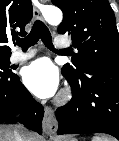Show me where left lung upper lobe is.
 I'll return each mask as SVG.
<instances>
[{
	"label": "left lung upper lobe",
	"instance_id": "1",
	"mask_svg": "<svg viewBox=\"0 0 119 141\" xmlns=\"http://www.w3.org/2000/svg\"><path fill=\"white\" fill-rule=\"evenodd\" d=\"M64 14L58 33L68 34L78 52L62 73L79 78L88 71L119 70V37L108 0H52Z\"/></svg>",
	"mask_w": 119,
	"mask_h": 141
}]
</instances>
